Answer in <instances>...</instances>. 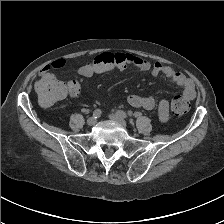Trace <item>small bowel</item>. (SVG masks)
Returning a JSON list of instances; mask_svg holds the SVG:
<instances>
[{"mask_svg":"<svg viewBox=\"0 0 224 224\" xmlns=\"http://www.w3.org/2000/svg\"><path fill=\"white\" fill-rule=\"evenodd\" d=\"M106 57L108 59H113L116 64V69L125 70L128 66H134L141 71H150L152 75L157 76L159 74H164L168 77L173 84L180 87L185 97L188 99H193L195 97V86L192 80L185 77L182 73L176 71L171 66L165 65L161 62L151 63L145 58L136 56L131 53H104L98 56ZM65 59L58 58L53 60L51 63L47 64L41 71V79L47 77H53L51 74L52 69H60L64 67ZM80 74L84 76H99L102 73L99 72L93 65L92 62L87 63L82 66L79 70ZM75 86V94L73 96H80L81 91L76 82L70 83ZM128 103L136 108H143L146 110H151L156 105V100L153 96H142L138 94H131L127 98ZM158 112L161 121H167L169 117V102L162 99L158 103Z\"/></svg>","mask_w":224,"mask_h":224,"instance_id":"obj_1","label":"small bowel"}]
</instances>
